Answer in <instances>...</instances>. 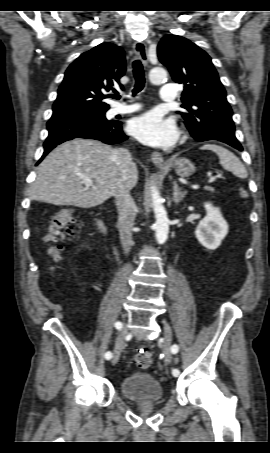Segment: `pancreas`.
I'll use <instances>...</instances> for the list:
<instances>
[{
  "label": "pancreas",
  "mask_w": 270,
  "mask_h": 453,
  "mask_svg": "<svg viewBox=\"0 0 270 453\" xmlns=\"http://www.w3.org/2000/svg\"><path fill=\"white\" fill-rule=\"evenodd\" d=\"M206 190L213 192V191H214V188H212V187H207Z\"/></svg>",
  "instance_id": "1"
}]
</instances>
